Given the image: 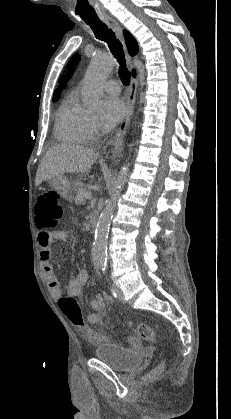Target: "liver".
I'll list each match as a JSON object with an SVG mask.
<instances>
[{"label":"liver","mask_w":231,"mask_h":419,"mask_svg":"<svg viewBox=\"0 0 231 419\" xmlns=\"http://www.w3.org/2000/svg\"><path fill=\"white\" fill-rule=\"evenodd\" d=\"M98 154L91 148L76 144H58L50 148L40 162L35 185L64 173H85L95 163Z\"/></svg>","instance_id":"liver-1"}]
</instances>
